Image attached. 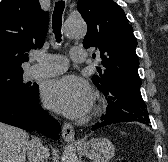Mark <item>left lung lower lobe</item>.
<instances>
[{
	"instance_id": "1",
	"label": "left lung lower lobe",
	"mask_w": 168,
	"mask_h": 162,
	"mask_svg": "<svg viewBox=\"0 0 168 162\" xmlns=\"http://www.w3.org/2000/svg\"><path fill=\"white\" fill-rule=\"evenodd\" d=\"M103 93L107 96L109 103L107 114L102 116V122L95 124L92 130L120 122L136 121L145 125L150 124L148 111L140 89L118 85L108 88Z\"/></svg>"
}]
</instances>
